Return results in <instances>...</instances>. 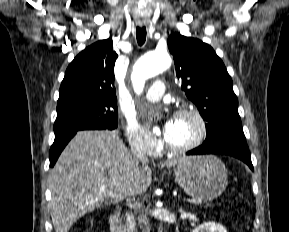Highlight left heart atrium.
<instances>
[{"label":"left heart atrium","instance_id":"39dd6f15","mask_svg":"<svg viewBox=\"0 0 289 232\" xmlns=\"http://www.w3.org/2000/svg\"><path fill=\"white\" fill-rule=\"evenodd\" d=\"M160 130L163 139L169 143L173 135L174 118L165 117L160 123Z\"/></svg>","mask_w":289,"mask_h":232}]
</instances>
